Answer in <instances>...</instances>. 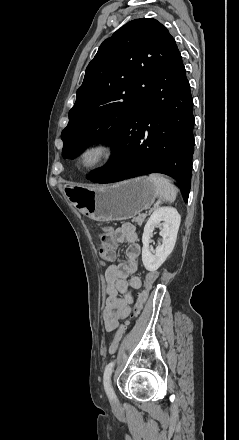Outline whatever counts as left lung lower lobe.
Instances as JSON below:
<instances>
[{"label": "left lung lower lobe", "mask_w": 239, "mask_h": 440, "mask_svg": "<svg viewBox=\"0 0 239 440\" xmlns=\"http://www.w3.org/2000/svg\"><path fill=\"white\" fill-rule=\"evenodd\" d=\"M192 111L190 85L176 46L135 112L111 141L113 155L105 169L87 178L95 183H112L162 173L179 182L187 201L194 151Z\"/></svg>", "instance_id": "obj_1"}]
</instances>
